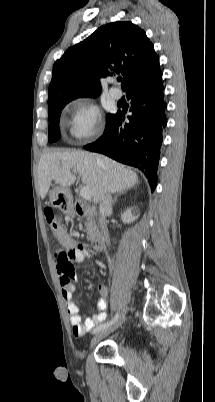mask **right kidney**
<instances>
[{
  "instance_id": "obj_1",
  "label": "right kidney",
  "mask_w": 215,
  "mask_h": 402,
  "mask_svg": "<svg viewBox=\"0 0 215 402\" xmlns=\"http://www.w3.org/2000/svg\"><path fill=\"white\" fill-rule=\"evenodd\" d=\"M138 218V215L135 212H132L131 208H128L123 214H121V219L124 223H131Z\"/></svg>"
}]
</instances>
